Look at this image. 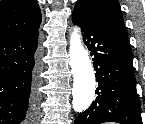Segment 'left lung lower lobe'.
I'll return each instance as SVG.
<instances>
[{"instance_id": "left-lung-lower-lobe-1", "label": "left lung lower lobe", "mask_w": 145, "mask_h": 124, "mask_svg": "<svg viewBox=\"0 0 145 124\" xmlns=\"http://www.w3.org/2000/svg\"><path fill=\"white\" fill-rule=\"evenodd\" d=\"M72 22L81 27L98 81L95 101L76 118L75 124H142L132 53L127 41L75 10Z\"/></svg>"}]
</instances>
